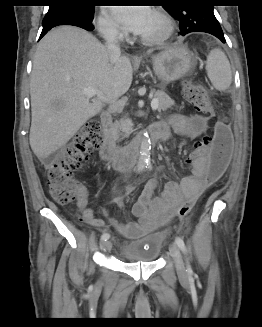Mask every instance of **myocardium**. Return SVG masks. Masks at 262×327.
Returning <instances> with one entry per match:
<instances>
[{"instance_id":"1","label":"myocardium","mask_w":262,"mask_h":327,"mask_svg":"<svg viewBox=\"0 0 262 327\" xmlns=\"http://www.w3.org/2000/svg\"><path fill=\"white\" fill-rule=\"evenodd\" d=\"M152 13L156 16V18L160 21L162 25L161 33L157 35H139L138 39L147 45H158L166 42L174 32V24L169 17V15L160 8H154Z\"/></svg>"}]
</instances>
